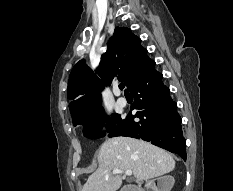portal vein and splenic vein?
<instances>
[{"label":"portal vein and splenic vein","mask_w":233,"mask_h":191,"mask_svg":"<svg viewBox=\"0 0 233 191\" xmlns=\"http://www.w3.org/2000/svg\"><path fill=\"white\" fill-rule=\"evenodd\" d=\"M122 173H124L126 176H131L132 170L122 171V170L116 169L112 171V174H122Z\"/></svg>","instance_id":"1"}]
</instances>
